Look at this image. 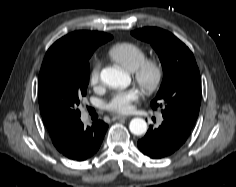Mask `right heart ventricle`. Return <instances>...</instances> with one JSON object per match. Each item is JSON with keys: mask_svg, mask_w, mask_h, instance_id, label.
<instances>
[{"mask_svg": "<svg viewBox=\"0 0 236 187\" xmlns=\"http://www.w3.org/2000/svg\"><path fill=\"white\" fill-rule=\"evenodd\" d=\"M107 55L113 62L129 72H133L147 57L146 51L132 42H119L112 45Z\"/></svg>", "mask_w": 236, "mask_h": 187, "instance_id": "1", "label": "right heart ventricle"}]
</instances>
